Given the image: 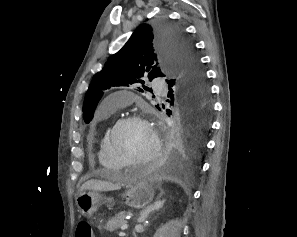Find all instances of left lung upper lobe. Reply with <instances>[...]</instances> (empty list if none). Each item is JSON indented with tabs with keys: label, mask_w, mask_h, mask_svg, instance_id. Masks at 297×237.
<instances>
[{
	"label": "left lung upper lobe",
	"mask_w": 297,
	"mask_h": 237,
	"mask_svg": "<svg viewBox=\"0 0 297 237\" xmlns=\"http://www.w3.org/2000/svg\"><path fill=\"white\" fill-rule=\"evenodd\" d=\"M168 77L167 83L176 95L187 97L196 105L210 103L204 73L182 29L167 22L140 25L124 47L110 57L105 67L94 75L83 104V118L89 123L106 89L115 86L140 85L144 79Z\"/></svg>",
	"instance_id": "5c2ea615"
}]
</instances>
